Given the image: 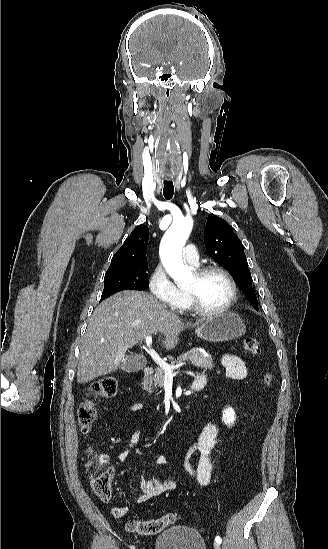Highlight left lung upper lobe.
<instances>
[{
    "mask_svg": "<svg viewBox=\"0 0 328 549\" xmlns=\"http://www.w3.org/2000/svg\"><path fill=\"white\" fill-rule=\"evenodd\" d=\"M204 241L207 251L214 260L235 277L251 304L258 309L243 245L232 227L220 217L210 214L206 223Z\"/></svg>",
    "mask_w": 328,
    "mask_h": 549,
    "instance_id": "5c2ea615",
    "label": "left lung upper lobe"
}]
</instances>
